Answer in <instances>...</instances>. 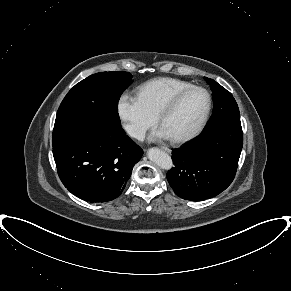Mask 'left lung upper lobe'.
<instances>
[{
  "label": "left lung upper lobe",
  "mask_w": 291,
  "mask_h": 291,
  "mask_svg": "<svg viewBox=\"0 0 291 291\" xmlns=\"http://www.w3.org/2000/svg\"><path fill=\"white\" fill-rule=\"evenodd\" d=\"M204 79L212 89L214 100L213 115L210 118L205 131L221 123L241 124L239 109L232 94L214 80L207 77Z\"/></svg>",
  "instance_id": "left-lung-upper-lobe-1"
}]
</instances>
